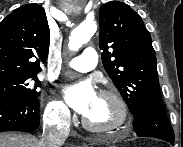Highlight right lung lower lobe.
<instances>
[{
    "instance_id": "1",
    "label": "right lung lower lobe",
    "mask_w": 183,
    "mask_h": 147,
    "mask_svg": "<svg viewBox=\"0 0 183 147\" xmlns=\"http://www.w3.org/2000/svg\"><path fill=\"white\" fill-rule=\"evenodd\" d=\"M38 98L0 99V132H32L39 127Z\"/></svg>"
}]
</instances>
